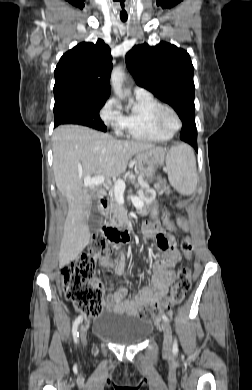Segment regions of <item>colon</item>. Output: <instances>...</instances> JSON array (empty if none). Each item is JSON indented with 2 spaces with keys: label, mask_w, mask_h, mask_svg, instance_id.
Listing matches in <instances>:
<instances>
[{
  "label": "colon",
  "mask_w": 252,
  "mask_h": 390,
  "mask_svg": "<svg viewBox=\"0 0 252 390\" xmlns=\"http://www.w3.org/2000/svg\"><path fill=\"white\" fill-rule=\"evenodd\" d=\"M163 223L169 230H175L170 220V214L165 212L162 217ZM181 217L176 218L180 223ZM114 233L110 229H104L97 233L86 250L75 260L62 269V287L66 298L71 301L76 309L85 317L94 318L102 311L104 291L96 280L97 260L107 257L112 252V237ZM184 255H191V243L185 238L181 244ZM191 287V270L184 267L180 270L176 284L171 294L165 299L166 309L179 303ZM163 309L160 305L145 308L139 312L140 316L148 317L160 313Z\"/></svg>",
  "instance_id": "1"
}]
</instances>
